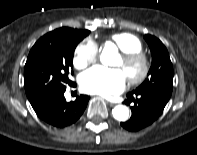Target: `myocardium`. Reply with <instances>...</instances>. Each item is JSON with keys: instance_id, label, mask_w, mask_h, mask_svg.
Returning <instances> with one entry per match:
<instances>
[{"instance_id": "f54148a6", "label": "myocardium", "mask_w": 197, "mask_h": 155, "mask_svg": "<svg viewBox=\"0 0 197 155\" xmlns=\"http://www.w3.org/2000/svg\"><path fill=\"white\" fill-rule=\"evenodd\" d=\"M121 58L124 65L137 64L139 72L135 75L127 76L130 85H139L143 83L150 72V61L145 53L142 51L122 52Z\"/></svg>"}]
</instances>
